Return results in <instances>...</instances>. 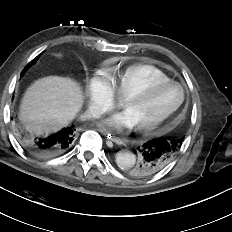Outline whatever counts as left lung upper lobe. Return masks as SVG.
I'll use <instances>...</instances> for the list:
<instances>
[{"mask_svg": "<svg viewBox=\"0 0 232 232\" xmlns=\"http://www.w3.org/2000/svg\"><path fill=\"white\" fill-rule=\"evenodd\" d=\"M181 140H183V138H180ZM134 169V167H132V168H130L129 170H128V172H129V174L131 175V171Z\"/></svg>", "mask_w": 232, "mask_h": 232, "instance_id": "5c2ea615", "label": "left lung upper lobe"}]
</instances>
